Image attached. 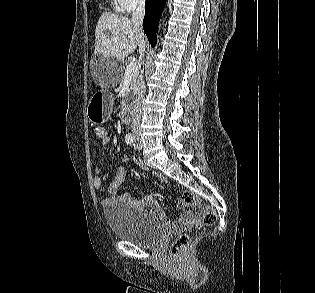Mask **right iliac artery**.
<instances>
[{
  "label": "right iliac artery",
  "mask_w": 315,
  "mask_h": 293,
  "mask_svg": "<svg viewBox=\"0 0 315 293\" xmlns=\"http://www.w3.org/2000/svg\"><path fill=\"white\" fill-rule=\"evenodd\" d=\"M125 142L128 144V145H132L134 143V136L132 134H127L125 136Z\"/></svg>",
  "instance_id": "right-iliac-artery-1"
}]
</instances>
